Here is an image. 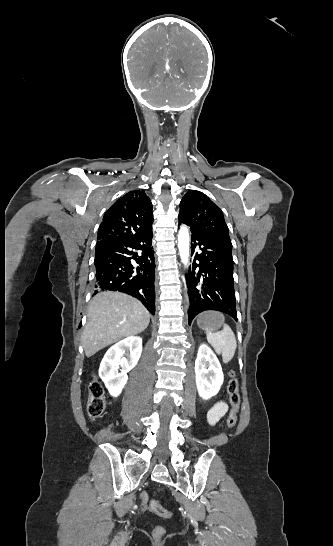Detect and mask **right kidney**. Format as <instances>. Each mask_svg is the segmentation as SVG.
Masks as SVG:
<instances>
[{
    "label": "right kidney",
    "instance_id": "right-kidney-1",
    "mask_svg": "<svg viewBox=\"0 0 333 546\" xmlns=\"http://www.w3.org/2000/svg\"><path fill=\"white\" fill-rule=\"evenodd\" d=\"M129 350L127 358L123 355ZM142 352L141 337H127L112 346L104 355L99 368V376L113 397H118L124 388L127 373L138 363ZM119 366L121 367L118 372Z\"/></svg>",
    "mask_w": 333,
    "mask_h": 546
}]
</instances>
